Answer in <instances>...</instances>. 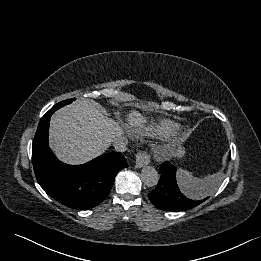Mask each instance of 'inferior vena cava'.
Wrapping results in <instances>:
<instances>
[{"label":"inferior vena cava","instance_id":"inferior-vena-cava-1","mask_svg":"<svg viewBox=\"0 0 261 261\" xmlns=\"http://www.w3.org/2000/svg\"><path fill=\"white\" fill-rule=\"evenodd\" d=\"M114 148L117 152H125L127 150V139L125 137H118L113 141Z\"/></svg>","mask_w":261,"mask_h":261}]
</instances>
